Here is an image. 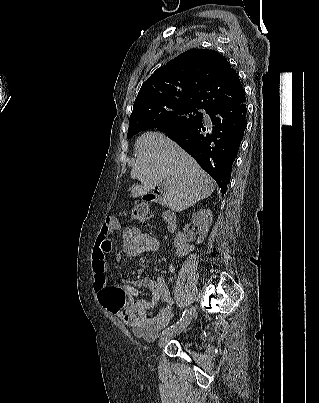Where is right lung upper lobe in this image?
Listing matches in <instances>:
<instances>
[{"instance_id":"right-lung-upper-lobe-1","label":"right lung upper lobe","mask_w":319,"mask_h":403,"mask_svg":"<svg viewBox=\"0 0 319 403\" xmlns=\"http://www.w3.org/2000/svg\"><path fill=\"white\" fill-rule=\"evenodd\" d=\"M246 101L236 71L220 53L190 49L157 69L141 86L130 118L159 104H187L206 112Z\"/></svg>"}]
</instances>
